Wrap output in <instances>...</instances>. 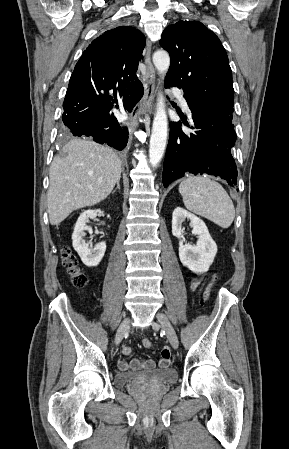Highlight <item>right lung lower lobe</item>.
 Returning a JSON list of instances; mask_svg holds the SVG:
<instances>
[{"instance_id": "right-lung-lower-lobe-1", "label": "right lung lower lobe", "mask_w": 289, "mask_h": 449, "mask_svg": "<svg viewBox=\"0 0 289 449\" xmlns=\"http://www.w3.org/2000/svg\"><path fill=\"white\" fill-rule=\"evenodd\" d=\"M114 90V98L109 90ZM119 93L123 107L131 112L143 96V85L138 77L119 84L78 80L71 76L64 99L62 115L67 136H92L94 141L122 150L128 142V129L118 123L112 107L118 103ZM119 108L118 105L115 106Z\"/></svg>"}]
</instances>
